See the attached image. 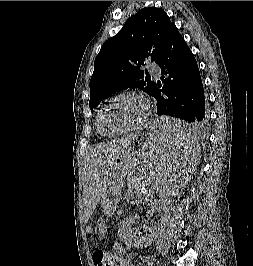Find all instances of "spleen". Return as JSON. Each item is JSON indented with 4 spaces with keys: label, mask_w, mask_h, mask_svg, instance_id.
I'll use <instances>...</instances> for the list:
<instances>
[{
    "label": "spleen",
    "mask_w": 253,
    "mask_h": 266,
    "mask_svg": "<svg viewBox=\"0 0 253 266\" xmlns=\"http://www.w3.org/2000/svg\"><path fill=\"white\" fill-rule=\"evenodd\" d=\"M149 126H153L154 144L149 150L141 151V158L133 160V176L125 177L121 185V194H129L130 199H154L162 204L165 199H177L175 187H185L188 174L200 157L201 144L198 139L197 123H179L178 117H149ZM110 217L101 215L98 233H109ZM107 239V236H104Z\"/></svg>",
    "instance_id": "3e777b00"
}]
</instances>
